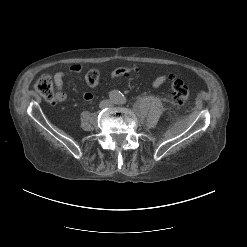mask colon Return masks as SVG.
<instances>
[{
    "label": "colon",
    "instance_id": "5ec220e1",
    "mask_svg": "<svg viewBox=\"0 0 247 247\" xmlns=\"http://www.w3.org/2000/svg\"><path fill=\"white\" fill-rule=\"evenodd\" d=\"M85 80L88 86L96 87L100 80L99 72L95 69L89 70ZM35 89L45 101L54 103L57 100L51 78L48 75H43L36 81ZM170 90L174 102L180 107L185 106L189 99L188 86L182 80L172 78Z\"/></svg>",
    "mask_w": 247,
    "mask_h": 247
}]
</instances>
